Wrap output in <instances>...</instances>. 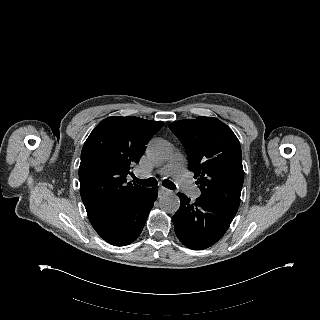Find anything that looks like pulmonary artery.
Here are the masks:
<instances>
[{"instance_id": "obj_1", "label": "pulmonary artery", "mask_w": 320, "mask_h": 320, "mask_svg": "<svg viewBox=\"0 0 320 320\" xmlns=\"http://www.w3.org/2000/svg\"><path fill=\"white\" fill-rule=\"evenodd\" d=\"M159 173L163 176H172L177 185L192 198H198L201 191L189 179L185 170V158L181 153H175Z\"/></svg>"}]
</instances>
